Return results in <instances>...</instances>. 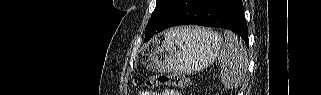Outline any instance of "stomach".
I'll list each match as a JSON object with an SVG mask.
<instances>
[{
	"label": "stomach",
	"mask_w": 321,
	"mask_h": 95,
	"mask_svg": "<svg viewBox=\"0 0 321 95\" xmlns=\"http://www.w3.org/2000/svg\"><path fill=\"white\" fill-rule=\"evenodd\" d=\"M221 45V36L205 29H171L153 40L144 62L153 71L190 74L211 64Z\"/></svg>",
	"instance_id": "1"
}]
</instances>
